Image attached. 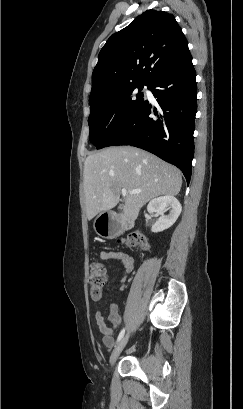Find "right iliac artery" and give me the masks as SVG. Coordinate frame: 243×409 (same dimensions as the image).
Returning <instances> with one entry per match:
<instances>
[{
	"label": "right iliac artery",
	"instance_id": "obj_1",
	"mask_svg": "<svg viewBox=\"0 0 243 409\" xmlns=\"http://www.w3.org/2000/svg\"><path fill=\"white\" fill-rule=\"evenodd\" d=\"M124 334H125V329H122L118 335L117 343L123 338Z\"/></svg>",
	"mask_w": 243,
	"mask_h": 409
}]
</instances>
